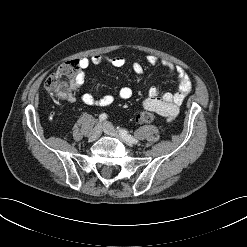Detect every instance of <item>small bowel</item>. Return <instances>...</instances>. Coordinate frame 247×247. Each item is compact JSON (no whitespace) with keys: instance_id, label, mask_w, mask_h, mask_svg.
I'll list each match as a JSON object with an SVG mask.
<instances>
[{"instance_id":"small-bowel-1","label":"small bowel","mask_w":247,"mask_h":247,"mask_svg":"<svg viewBox=\"0 0 247 247\" xmlns=\"http://www.w3.org/2000/svg\"><path fill=\"white\" fill-rule=\"evenodd\" d=\"M103 62H107L113 67H121L125 64L126 59L123 56L105 57L102 55L80 58L78 60L80 67L78 87H82L85 84L87 69L90 66H99ZM147 62L151 66L162 65L171 74L177 76L179 83L177 91L161 95L157 88L150 87L148 89V95L143 101L144 109L165 115L169 120H172L179 113L180 105L192 89L190 76L183 67L168 60L159 59L155 55H148ZM132 69L137 75H141L144 71L142 64L138 62L133 64ZM131 96L132 90L129 87H122L118 92V97L123 100L129 99ZM68 100L69 102H74L73 97H69ZM81 100L87 105L109 106L114 102L115 96L113 94L97 95L90 90H86L81 94Z\"/></svg>"}]
</instances>
